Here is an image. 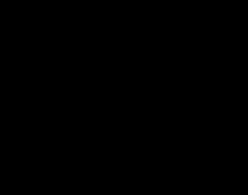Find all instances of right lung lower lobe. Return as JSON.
<instances>
[{"label":"right lung lower lobe","mask_w":248,"mask_h":195,"mask_svg":"<svg viewBox=\"0 0 248 195\" xmlns=\"http://www.w3.org/2000/svg\"><path fill=\"white\" fill-rule=\"evenodd\" d=\"M41 131L57 156L74 168L108 158L129 123L128 108L102 92L59 87L38 96Z\"/></svg>","instance_id":"1"}]
</instances>
